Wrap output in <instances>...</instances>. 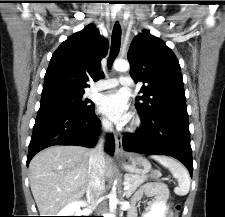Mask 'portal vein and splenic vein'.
<instances>
[{"instance_id": "portal-vein-and-splenic-vein-1", "label": "portal vein and splenic vein", "mask_w": 225, "mask_h": 217, "mask_svg": "<svg viewBox=\"0 0 225 217\" xmlns=\"http://www.w3.org/2000/svg\"><path fill=\"white\" fill-rule=\"evenodd\" d=\"M158 175H156V177H157ZM129 189V186L127 185V184H125V186H124V191H127Z\"/></svg>"}]
</instances>
